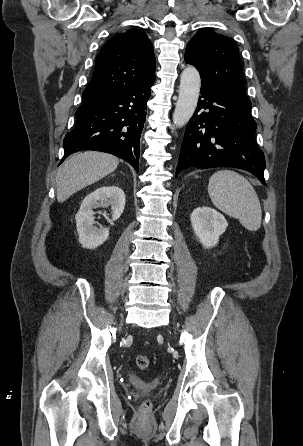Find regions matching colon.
<instances>
[{
  "mask_svg": "<svg viewBox=\"0 0 303 446\" xmlns=\"http://www.w3.org/2000/svg\"><path fill=\"white\" fill-rule=\"evenodd\" d=\"M136 365L141 370H146L150 367L151 361L146 355H138L136 357ZM151 408V403L149 401H144L142 403L141 409L144 413H148Z\"/></svg>",
  "mask_w": 303,
  "mask_h": 446,
  "instance_id": "5ec220e1",
  "label": "colon"
}]
</instances>
